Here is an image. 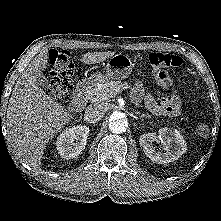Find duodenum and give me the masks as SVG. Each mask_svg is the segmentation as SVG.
<instances>
[{
    "mask_svg": "<svg viewBox=\"0 0 221 221\" xmlns=\"http://www.w3.org/2000/svg\"><path fill=\"white\" fill-rule=\"evenodd\" d=\"M92 85V80H84L76 86L74 96L69 104V108L72 111L78 110L83 105V103L88 100Z\"/></svg>",
    "mask_w": 221,
    "mask_h": 221,
    "instance_id": "410a0bca",
    "label": "duodenum"
}]
</instances>
